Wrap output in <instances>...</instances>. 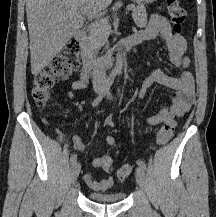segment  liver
I'll return each instance as SVG.
<instances>
[{"label":"liver","instance_id":"1","mask_svg":"<svg viewBox=\"0 0 216 217\" xmlns=\"http://www.w3.org/2000/svg\"><path fill=\"white\" fill-rule=\"evenodd\" d=\"M113 0H26L31 72L38 75L83 27L85 15Z\"/></svg>","mask_w":216,"mask_h":217}]
</instances>
